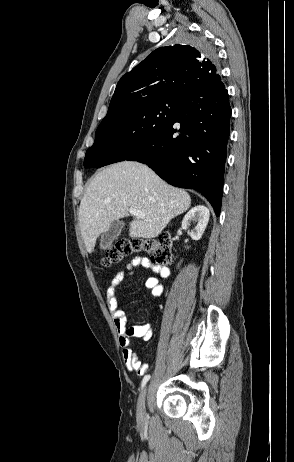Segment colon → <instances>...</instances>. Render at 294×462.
Masks as SVG:
<instances>
[{
	"label": "colon",
	"mask_w": 294,
	"mask_h": 462,
	"mask_svg": "<svg viewBox=\"0 0 294 462\" xmlns=\"http://www.w3.org/2000/svg\"><path fill=\"white\" fill-rule=\"evenodd\" d=\"M136 251L145 252L149 255L151 261L157 265H170L173 261L171 236L169 234H160L151 239L118 240L106 250L102 258V264L109 267Z\"/></svg>",
	"instance_id": "colon-1"
}]
</instances>
